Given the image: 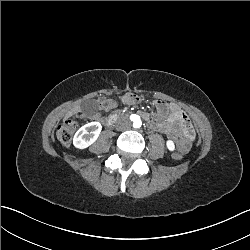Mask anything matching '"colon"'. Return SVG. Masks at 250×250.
I'll list each match as a JSON object with an SVG mask.
<instances>
[{
	"instance_id": "obj_1",
	"label": "colon",
	"mask_w": 250,
	"mask_h": 250,
	"mask_svg": "<svg viewBox=\"0 0 250 250\" xmlns=\"http://www.w3.org/2000/svg\"><path fill=\"white\" fill-rule=\"evenodd\" d=\"M127 98H131V103H142V98H139V93H127ZM156 105H167V100H156ZM91 109H95V105H92ZM76 128L77 121L74 118L68 117L64 119L57 128V140L65 146L69 145ZM171 157L176 161L183 159L184 155L182 152H174Z\"/></svg>"
}]
</instances>
